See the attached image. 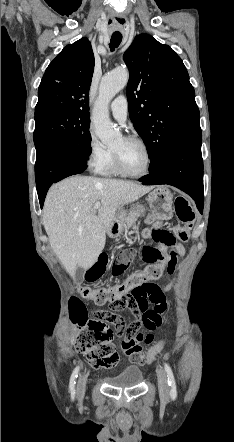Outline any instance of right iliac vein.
<instances>
[{"mask_svg": "<svg viewBox=\"0 0 234 442\" xmlns=\"http://www.w3.org/2000/svg\"><path fill=\"white\" fill-rule=\"evenodd\" d=\"M86 382H87V376L86 375L80 376V378L78 380V385H77L78 397L83 396V394L85 392V388H86Z\"/></svg>", "mask_w": 234, "mask_h": 442, "instance_id": "obj_1", "label": "right iliac vein"}]
</instances>
